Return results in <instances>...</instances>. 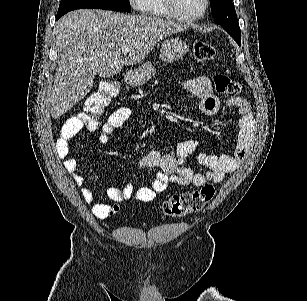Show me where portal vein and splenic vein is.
<instances>
[{
	"label": "portal vein and splenic vein",
	"mask_w": 307,
	"mask_h": 301,
	"mask_svg": "<svg viewBox=\"0 0 307 301\" xmlns=\"http://www.w3.org/2000/svg\"><path fill=\"white\" fill-rule=\"evenodd\" d=\"M129 50H130L129 46H123L121 52L122 54H128Z\"/></svg>",
	"instance_id": "obj_1"
}]
</instances>
